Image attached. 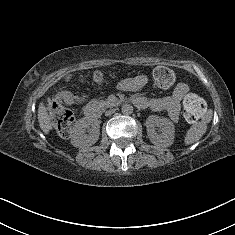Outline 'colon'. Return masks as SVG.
<instances>
[{
    "label": "colon",
    "instance_id": "colon-1",
    "mask_svg": "<svg viewBox=\"0 0 235 235\" xmlns=\"http://www.w3.org/2000/svg\"><path fill=\"white\" fill-rule=\"evenodd\" d=\"M107 79V75L101 72H95L92 76V82L96 85H103ZM175 80L176 76L174 72L167 67L159 66L153 72V86L156 89H167L174 84ZM48 109L57 134L61 138H68L74 121L73 113L55 98L49 101ZM204 111L205 103L199 96L188 94L185 97L183 114L187 121H197L203 115Z\"/></svg>",
    "mask_w": 235,
    "mask_h": 235
}]
</instances>
